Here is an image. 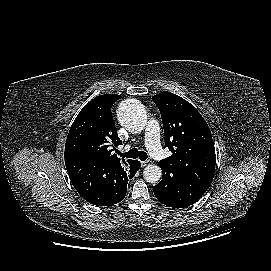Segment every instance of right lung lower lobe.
Returning <instances> with one entry per match:
<instances>
[{"label":"right lung lower lobe","mask_w":271,"mask_h":271,"mask_svg":"<svg viewBox=\"0 0 271 271\" xmlns=\"http://www.w3.org/2000/svg\"><path fill=\"white\" fill-rule=\"evenodd\" d=\"M65 165L78 193L97 206H110L123 200L128 180L140 168L139 161L126 171L123 167L109 166L82 156L66 158Z\"/></svg>","instance_id":"obj_1"}]
</instances>
